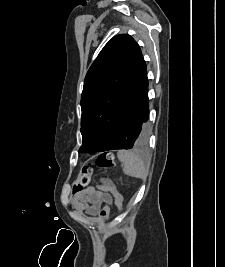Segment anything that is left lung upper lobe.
Returning <instances> with one entry per match:
<instances>
[{
  "label": "left lung upper lobe",
  "instance_id": "5c2ea615",
  "mask_svg": "<svg viewBox=\"0 0 225 267\" xmlns=\"http://www.w3.org/2000/svg\"><path fill=\"white\" fill-rule=\"evenodd\" d=\"M142 58L136 41L127 34L113 37L89 68L81 96V152L95 153L109 141L132 75ZM148 123L141 127L134 147L148 136Z\"/></svg>",
  "mask_w": 225,
  "mask_h": 267
}]
</instances>
